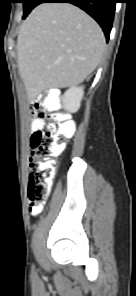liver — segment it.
<instances>
[{
    "instance_id": "liver-1",
    "label": "liver",
    "mask_w": 136,
    "mask_h": 296,
    "mask_svg": "<svg viewBox=\"0 0 136 296\" xmlns=\"http://www.w3.org/2000/svg\"><path fill=\"white\" fill-rule=\"evenodd\" d=\"M19 73L34 100L51 88L83 82L105 49L100 26L69 3H42L22 23L17 39Z\"/></svg>"
}]
</instances>
